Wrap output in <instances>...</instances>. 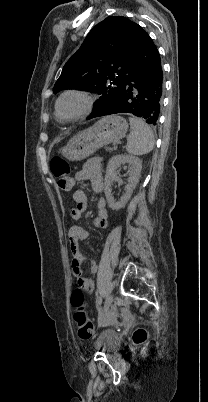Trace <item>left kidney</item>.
<instances>
[{"mask_svg": "<svg viewBox=\"0 0 208 402\" xmlns=\"http://www.w3.org/2000/svg\"><path fill=\"white\" fill-rule=\"evenodd\" d=\"M120 164H131L132 168L130 170L127 186H125V194L120 198V202H115L111 192V184L114 180H119V176L116 174L117 168H119ZM142 170V160L136 158V156H130V154H117V156H113L111 160L108 162L105 182H104V190L106 200L108 202L109 208L112 210H120V208H125V204H127L128 200H130L132 196V192L139 182L140 172ZM120 182V180H119Z\"/></svg>", "mask_w": 208, "mask_h": 402, "instance_id": "5707ae66", "label": "left kidney"}]
</instances>
